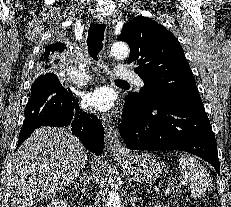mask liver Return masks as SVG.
Instances as JSON below:
<instances>
[{
	"instance_id": "1",
	"label": "liver",
	"mask_w": 231,
	"mask_h": 207,
	"mask_svg": "<svg viewBox=\"0 0 231 207\" xmlns=\"http://www.w3.org/2000/svg\"><path fill=\"white\" fill-rule=\"evenodd\" d=\"M87 150L69 130L41 127L18 148L8 179L12 207H29L74 182L87 162ZM99 178L98 161L91 162Z\"/></svg>"
}]
</instances>
